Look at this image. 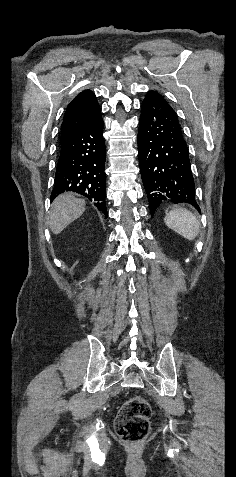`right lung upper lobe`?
Instances as JSON below:
<instances>
[{
    "label": "right lung upper lobe",
    "mask_w": 236,
    "mask_h": 477,
    "mask_svg": "<svg viewBox=\"0 0 236 477\" xmlns=\"http://www.w3.org/2000/svg\"><path fill=\"white\" fill-rule=\"evenodd\" d=\"M100 115L96 96L91 90L79 93L68 105L61 125V143L77 135Z\"/></svg>",
    "instance_id": "1"
}]
</instances>
